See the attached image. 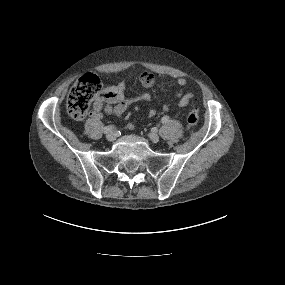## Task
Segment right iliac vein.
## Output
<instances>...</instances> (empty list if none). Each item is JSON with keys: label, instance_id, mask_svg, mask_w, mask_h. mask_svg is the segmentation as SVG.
I'll return each mask as SVG.
<instances>
[{"label": "right iliac vein", "instance_id": "obj_1", "mask_svg": "<svg viewBox=\"0 0 285 285\" xmlns=\"http://www.w3.org/2000/svg\"><path fill=\"white\" fill-rule=\"evenodd\" d=\"M106 138L108 141L112 142L116 139V133L115 132H109L107 135H106Z\"/></svg>", "mask_w": 285, "mask_h": 285}]
</instances>
